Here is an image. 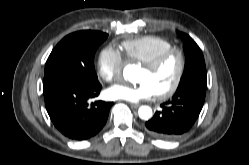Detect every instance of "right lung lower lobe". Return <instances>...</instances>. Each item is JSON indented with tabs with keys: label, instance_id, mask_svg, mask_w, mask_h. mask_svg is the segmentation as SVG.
Masks as SVG:
<instances>
[{
	"label": "right lung lower lobe",
	"instance_id": "obj_1",
	"mask_svg": "<svg viewBox=\"0 0 249 165\" xmlns=\"http://www.w3.org/2000/svg\"><path fill=\"white\" fill-rule=\"evenodd\" d=\"M100 83L90 86L56 76L44 77L45 106L55 127L73 140H86L106 124L112 102L88 100L99 95Z\"/></svg>",
	"mask_w": 249,
	"mask_h": 165
}]
</instances>
